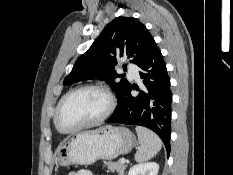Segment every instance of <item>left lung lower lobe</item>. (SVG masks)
Returning a JSON list of instances; mask_svg holds the SVG:
<instances>
[{"label":"left lung lower lobe","instance_id":"obj_1","mask_svg":"<svg viewBox=\"0 0 233 175\" xmlns=\"http://www.w3.org/2000/svg\"><path fill=\"white\" fill-rule=\"evenodd\" d=\"M144 88L138 96L129 87L108 123L140 125L153 130L163 141L167 155L170 153L171 103L170 79L161 51L155 45L139 65Z\"/></svg>","mask_w":233,"mask_h":175}]
</instances>
